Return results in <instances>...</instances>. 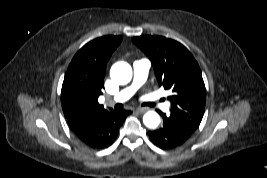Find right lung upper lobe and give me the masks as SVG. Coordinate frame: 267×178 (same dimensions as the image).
I'll return each mask as SVG.
<instances>
[{"label":"right lung upper lobe","mask_w":267,"mask_h":178,"mask_svg":"<svg viewBox=\"0 0 267 178\" xmlns=\"http://www.w3.org/2000/svg\"><path fill=\"white\" fill-rule=\"evenodd\" d=\"M121 40V36L96 38L73 57L61 90L62 109L69 126L83 117L108 111L98 103V97L104 88L106 64Z\"/></svg>","instance_id":"1"}]
</instances>
